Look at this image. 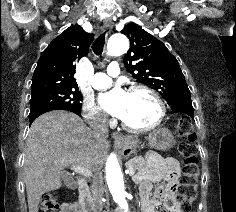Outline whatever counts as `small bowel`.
Returning <instances> with one entry per match:
<instances>
[{
	"mask_svg": "<svg viewBox=\"0 0 236 212\" xmlns=\"http://www.w3.org/2000/svg\"><path fill=\"white\" fill-rule=\"evenodd\" d=\"M180 176L179 163L174 158H154L150 165L137 176L141 206L143 212H157L160 205H165L166 212H182L174 195V186ZM165 181L153 192L154 184ZM60 212H81L77 203H63Z\"/></svg>",
	"mask_w": 236,
	"mask_h": 212,
	"instance_id": "c3829d8e",
	"label": "small bowel"
}]
</instances>
